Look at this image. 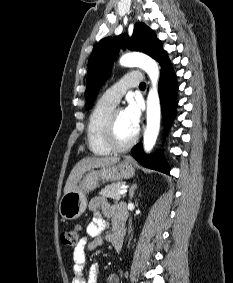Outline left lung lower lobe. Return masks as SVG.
Masks as SVG:
<instances>
[{
  "label": "left lung lower lobe",
  "instance_id": "1",
  "mask_svg": "<svg viewBox=\"0 0 233 283\" xmlns=\"http://www.w3.org/2000/svg\"><path fill=\"white\" fill-rule=\"evenodd\" d=\"M161 66V74L159 80V96L163 110L165 130L170 127L175 117L177 98L176 91L178 85L175 79V72L171 68L170 60L166 53L158 60ZM132 156L143 166L155 169L169 174V168L160 154L146 155L140 144L136 145L132 150Z\"/></svg>",
  "mask_w": 233,
  "mask_h": 283
}]
</instances>
